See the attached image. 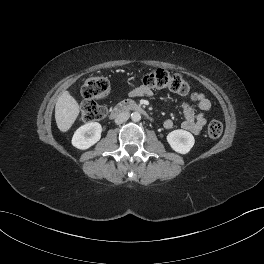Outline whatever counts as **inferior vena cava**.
Here are the masks:
<instances>
[{"label": "inferior vena cava", "mask_w": 264, "mask_h": 264, "mask_svg": "<svg viewBox=\"0 0 264 264\" xmlns=\"http://www.w3.org/2000/svg\"><path fill=\"white\" fill-rule=\"evenodd\" d=\"M130 117V113L128 111H123L117 114L115 118L116 124H122L123 122L127 121Z\"/></svg>", "instance_id": "602c4592"}]
</instances>
